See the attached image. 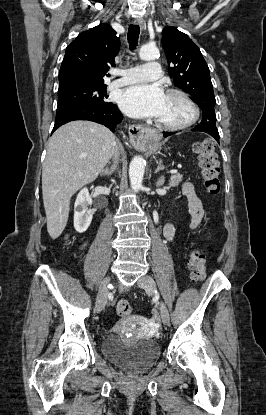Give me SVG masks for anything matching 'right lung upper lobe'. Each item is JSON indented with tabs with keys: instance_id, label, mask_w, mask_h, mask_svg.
<instances>
[{
	"instance_id": "right-lung-upper-lobe-1",
	"label": "right lung upper lobe",
	"mask_w": 266,
	"mask_h": 415,
	"mask_svg": "<svg viewBox=\"0 0 266 415\" xmlns=\"http://www.w3.org/2000/svg\"><path fill=\"white\" fill-rule=\"evenodd\" d=\"M120 42L108 24L82 32L66 48L59 72L58 93L104 85L103 77L119 52Z\"/></svg>"
}]
</instances>
